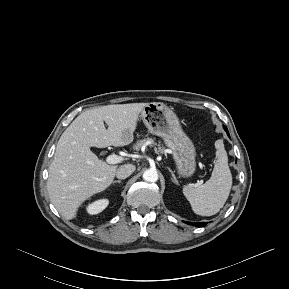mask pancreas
Wrapping results in <instances>:
<instances>
[{
  "label": "pancreas",
  "mask_w": 289,
  "mask_h": 289,
  "mask_svg": "<svg viewBox=\"0 0 289 289\" xmlns=\"http://www.w3.org/2000/svg\"><path fill=\"white\" fill-rule=\"evenodd\" d=\"M147 145H149L150 147H153L154 150H155V152H156L157 154L163 153V151H164V149H163L160 145H158V147H156V146H157V143L154 142V140H153L152 138H149V137L144 138V139L138 141V142L134 145V149H135V150H139V149H141L142 147H145V146H147Z\"/></svg>",
  "instance_id": "obj_1"
}]
</instances>
